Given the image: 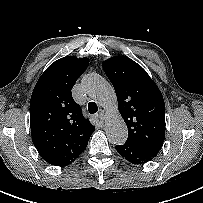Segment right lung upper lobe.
<instances>
[{
  "label": "right lung upper lobe",
  "instance_id": "1",
  "mask_svg": "<svg viewBox=\"0 0 203 203\" xmlns=\"http://www.w3.org/2000/svg\"><path fill=\"white\" fill-rule=\"evenodd\" d=\"M88 58L73 56L52 63L40 76L30 101L34 146L48 163L67 166L87 147L95 126L82 115L71 89L86 70Z\"/></svg>",
  "mask_w": 203,
  "mask_h": 203
}]
</instances>
